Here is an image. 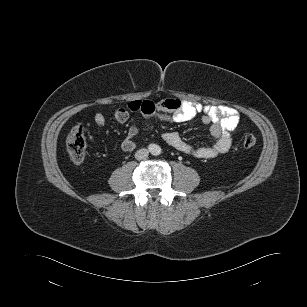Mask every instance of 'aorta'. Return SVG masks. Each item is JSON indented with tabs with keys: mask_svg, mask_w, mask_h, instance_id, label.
I'll use <instances>...</instances> for the list:
<instances>
[{
	"mask_svg": "<svg viewBox=\"0 0 307 307\" xmlns=\"http://www.w3.org/2000/svg\"><path fill=\"white\" fill-rule=\"evenodd\" d=\"M150 152L152 155H159L161 153V148L159 145L153 144L150 146Z\"/></svg>",
	"mask_w": 307,
	"mask_h": 307,
	"instance_id": "aorta-1",
	"label": "aorta"
}]
</instances>
